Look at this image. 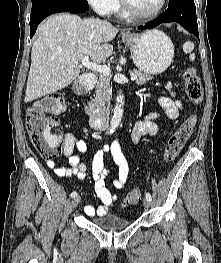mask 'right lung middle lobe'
Returning <instances> with one entry per match:
<instances>
[{"mask_svg":"<svg viewBox=\"0 0 221 263\" xmlns=\"http://www.w3.org/2000/svg\"><path fill=\"white\" fill-rule=\"evenodd\" d=\"M52 1H55V0H32V9L37 6H40L42 4L52 2Z\"/></svg>","mask_w":221,"mask_h":263,"instance_id":"obj_1","label":"right lung middle lobe"}]
</instances>
